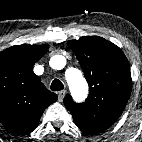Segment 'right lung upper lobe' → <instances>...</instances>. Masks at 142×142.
Returning a JSON list of instances; mask_svg holds the SVG:
<instances>
[{
    "label": "right lung upper lobe",
    "instance_id": "obj_1",
    "mask_svg": "<svg viewBox=\"0 0 142 142\" xmlns=\"http://www.w3.org/2000/svg\"><path fill=\"white\" fill-rule=\"evenodd\" d=\"M47 50V45L22 44L0 53V122L19 135L34 131L58 98L32 70Z\"/></svg>",
    "mask_w": 142,
    "mask_h": 142
}]
</instances>
